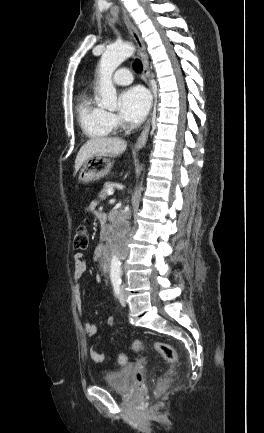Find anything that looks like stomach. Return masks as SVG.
Masks as SVG:
<instances>
[{
	"label": "stomach",
	"mask_w": 264,
	"mask_h": 433,
	"mask_svg": "<svg viewBox=\"0 0 264 433\" xmlns=\"http://www.w3.org/2000/svg\"><path fill=\"white\" fill-rule=\"evenodd\" d=\"M113 162L103 156H93L84 163L78 180L81 183L98 181L106 176L112 169Z\"/></svg>",
	"instance_id": "1"
}]
</instances>
